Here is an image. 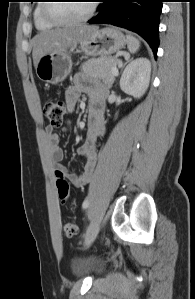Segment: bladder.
I'll list each match as a JSON object with an SVG mask.
<instances>
[{"mask_svg":"<svg viewBox=\"0 0 195 299\" xmlns=\"http://www.w3.org/2000/svg\"><path fill=\"white\" fill-rule=\"evenodd\" d=\"M101 270L100 262L93 258L77 257L72 262V271L77 277L97 275Z\"/></svg>","mask_w":195,"mask_h":299,"instance_id":"1","label":"bladder"}]
</instances>
